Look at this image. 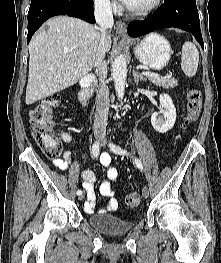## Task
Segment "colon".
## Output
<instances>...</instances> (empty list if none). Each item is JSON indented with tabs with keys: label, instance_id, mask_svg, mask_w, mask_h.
<instances>
[{
	"label": "colon",
	"instance_id": "5ec220e1",
	"mask_svg": "<svg viewBox=\"0 0 221 263\" xmlns=\"http://www.w3.org/2000/svg\"><path fill=\"white\" fill-rule=\"evenodd\" d=\"M187 114L184 118L183 127L192 126L202 108V97L199 90L192 88L188 92ZM61 103L58 95H51L29 112V121L33 130V137L50 158H56L61 153V144L54 135L53 110ZM124 204L127 208H135L140 204V195L137 192H131L126 195Z\"/></svg>",
	"mask_w": 221,
	"mask_h": 263
}]
</instances>
